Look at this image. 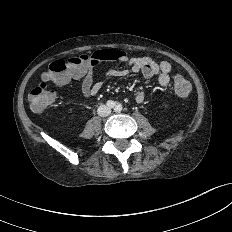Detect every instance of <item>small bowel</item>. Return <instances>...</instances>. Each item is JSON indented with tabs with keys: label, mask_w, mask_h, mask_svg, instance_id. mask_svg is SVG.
Returning <instances> with one entry per match:
<instances>
[{
	"label": "small bowel",
	"mask_w": 232,
	"mask_h": 232,
	"mask_svg": "<svg viewBox=\"0 0 232 232\" xmlns=\"http://www.w3.org/2000/svg\"><path fill=\"white\" fill-rule=\"evenodd\" d=\"M106 51L111 54V58L106 61L124 63L126 64V68L109 69L103 74L101 78L94 80V66H91L90 68L81 73H71L54 83L58 85H64L65 83H67L70 77L80 80L81 93L86 98L96 95L101 90L104 83V79L123 78L128 76L130 73L140 72L146 79H151L157 76L158 84L161 87H165L169 84L172 66L168 61H155L147 56L129 57L126 52L116 49H110ZM146 97L147 93L144 90H142L136 94L135 100L137 103H143L146 100Z\"/></svg>",
	"instance_id": "1"
}]
</instances>
